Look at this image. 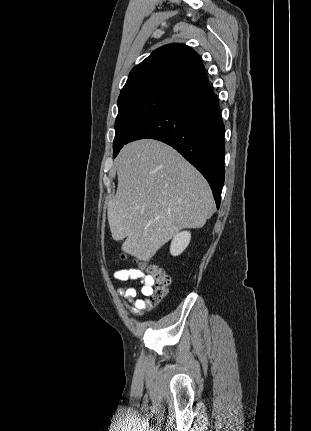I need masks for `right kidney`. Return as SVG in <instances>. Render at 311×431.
I'll use <instances>...</instances> for the list:
<instances>
[{
    "mask_svg": "<svg viewBox=\"0 0 311 431\" xmlns=\"http://www.w3.org/2000/svg\"><path fill=\"white\" fill-rule=\"evenodd\" d=\"M190 237V231H180V233H176L171 241L170 253H172V255H180V253L186 249L188 243H190Z\"/></svg>",
    "mask_w": 311,
    "mask_h": 431,
    "instance_id": "ca27d5eb",
    "label": "right kidney"
}]
</instances>
